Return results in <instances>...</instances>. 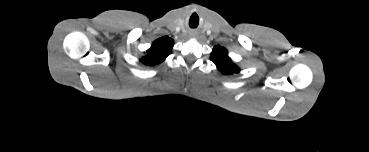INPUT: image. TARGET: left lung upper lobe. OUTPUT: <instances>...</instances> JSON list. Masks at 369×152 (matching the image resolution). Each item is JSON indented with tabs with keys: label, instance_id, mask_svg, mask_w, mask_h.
<instances>
[{
	"label": "left lung upper lobe",
	"instance_id": "left-lung-upper-lobe-1",
	"mask_svg": "<svg viewBox=\"0 0 369 152\" xmlns=\"http://www.w3.org/2000/svg\"><path fill=\"white\" fill-rule=\"evenodd\" d=\"M211 60L217 69L225 75L238 73L240 69L236 66L228 56L227 50L220 46H215L211 54Z\"/></svg>",
	"mask_w": 369,
	"mask_h": 152
}]
</instances>
